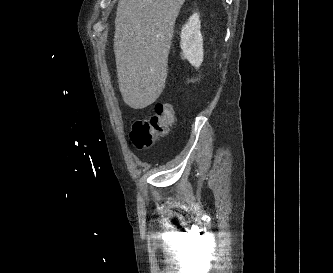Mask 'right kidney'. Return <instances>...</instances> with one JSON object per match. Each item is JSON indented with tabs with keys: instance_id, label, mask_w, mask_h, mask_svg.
Returning <instances> with one entry per match:
<instances>
[{
	"instance_id": "ca27d5eb",
	"label": "right kidney",
	"mask_w": 333,
	"mask_h": 273,
	"mask_svg": "<svg viewBox=\"0 0 333 273\" xmlns=\"http://www.w3.org/2000/svg\"><path fill=\"white\" fill-rule=\"evenodd\" d=\"M200 26L199 15L195 13L181 31L180 46L183 56L196 68L201 65L204 54Z\"/></svg>"
}]
</instances>
